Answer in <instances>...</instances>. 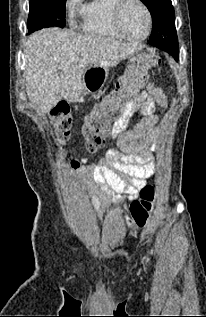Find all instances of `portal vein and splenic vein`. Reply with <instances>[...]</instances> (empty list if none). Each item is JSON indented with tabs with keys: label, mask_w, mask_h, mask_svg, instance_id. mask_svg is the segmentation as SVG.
I'll return each instance as SVG.
<instances>
[{
	"label": "portal vein and splenic vein",
	"mask_w": 206,
	"mask_h": 317,
	"mask_svg": "<svg viewBox=\"0 0 206 317\" xmlns=\"http://www.w3.org/2000/svg\"><path fill=\"white\" fill-rule=\"evenodd\" d=\"M78 58H70L71 61H75L77 60Z\"/></svg>",
	"instance_id": "18ae733b"
}]
</instances>
